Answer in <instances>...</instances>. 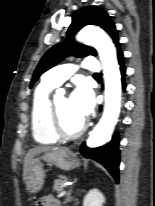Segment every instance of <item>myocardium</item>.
I'll return each mask as SVG.
<instances>
[{
    "instance_id": "1",
    "label": "myocardium",
    "mask_w": 155,
    "mask_h": 206,
    "mask_svg": "<svg viewBox=\"0 0 155 206\" xmlns=\"http://www.w3.org/2000/svg\"><path fill=\"white\" fill-rule=\"evenodd\" d=\"M49 113H50V124L52 130L58 137L68 138V139L75 138L83 134L87 128V123L83 121L82 124L77 129L73 131H67L62 126L55 100L50 102Z\"/></svg>"
}]
</instances>
